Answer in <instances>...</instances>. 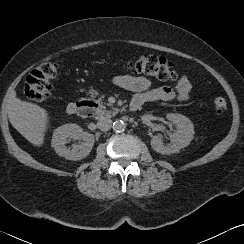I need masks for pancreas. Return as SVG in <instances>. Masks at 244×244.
<instances>
[{"label":"pancreas","mask_w":244,"mask_h":244,"mask_svg":"<svg viewBox=\"0 0 244 244\" xmlns=\"http://www.w3.org/2000/svg\"><path fill=\"white\" fill-rule=\"evenodd\" d=\"M111 114V112L109 110H106L105 107L103 106L99 111L97 116L100 117H104V116H109Z\"/></svg>","instance_id":"pancreas-1"}]
</instances>
